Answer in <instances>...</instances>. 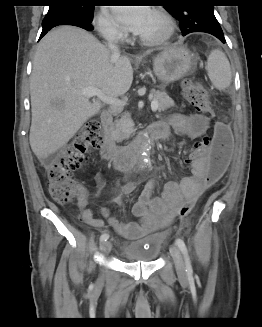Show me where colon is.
<instances>
[{
  "label": "colon",
  "instance_id": "1",
  "mask_svg": "<svg viewBox=\"0 0 262 327\" xmlns=\"http://www.w3.org/2000/svg\"><path fill=\"white\" fill-rule=\"evenodd\" d=\"M185 99L198 112L212 114L211 103L205 87L198 81L187 79L182 84ZM104 140L102 125L98 120L88 121L63 151L48 171L47 187L50 196L59 203H67L79 197L81 190L74 179V172L86 160L88 153L100 148ZM232 147V134L229 127L216 123L212 134L194 144L191 154L203 156L207 161V181L214 184L224 175ZM195 202H184L177 211L179 217H186Z\"/></svg>",
  "mask_w": 262,
  "mask_h": 327
}]
</instances>
